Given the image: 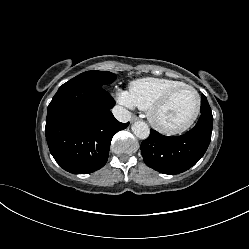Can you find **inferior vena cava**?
<instances>
[{
  "label": "inferior vena cava",
  "mask_w": 249,
  "mask_h": 249,
  "mask_svg": "<svg viewBox=\"0 0 249 249\" xmlns=\"http://www.w3.org/2000/svg\"><path fill=\"white\" fill-rule=\"evenodd\" d=\"M112 113L114 115V117L122 122V123H126L130 120L131 118V113L130 111H128L127 109H125L122 106L116 105L113 109H112Z\"/></svg>",
  "instance_id": "602c4592"
}]
</instances>
